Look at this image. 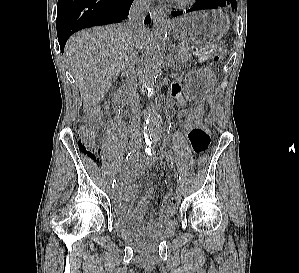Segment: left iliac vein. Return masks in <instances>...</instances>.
I'll use <instances>...</instances> for the list:
<instances>
[{"instance_id":"obj_1","label":"left iliac vein","mask_w":299,"mask_h":273,"mask_svg":"<svg viewBox=\"0 0 299 273\" xmlns=\"http://www.w3.org/2000/svg\"><path fill=\"white\" fill-rule=\"evenodd\" d=\"M142 144H138V148H142ZM176 192L181 195L183 193V187L181 184H178L177 187H176Z\"/></svg>"}]
</instances>
